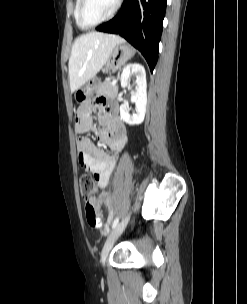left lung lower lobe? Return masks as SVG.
I'll return each mask as SVG.
<instances>
[{"label": "left lung lower lobe", "instance_id": "1", "mask_svg": "<svg viewBox=\"0 0 247 304\" xmlns=\"http://www.w3.org/2000/svg\"><path fill=\"white\" fill-rule=\"evenodd\" d=\"M166 0H124L120 12L98 31L119 34L145 57L151 72L158 60Z\"/></svg>", "mask_w": 247, "mask_h": 304}]
</instances>
